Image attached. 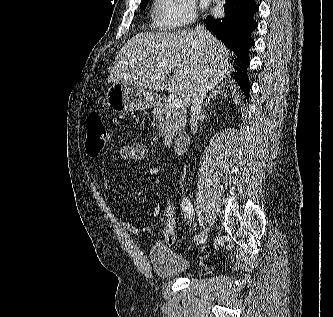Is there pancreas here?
Here are the masks:
<instances>
[{"label":"pancreas","instance_id":"pancreas-1","mask_svg":"<svg viewBox=\"0 0 333 317\" xmlns=\"http://www.w3.org/2000/svg\"><path fill=\"white\" fill-rule=\"evenodd\" d=\"M154 119L158 121V132L168 145L173 137L179 133L186 124V116L182 111L171 107V104H156L153 109Z\"/></svg>","mask_w":333,"mask_h":317}]
</instances>
